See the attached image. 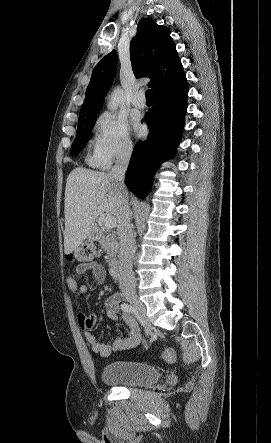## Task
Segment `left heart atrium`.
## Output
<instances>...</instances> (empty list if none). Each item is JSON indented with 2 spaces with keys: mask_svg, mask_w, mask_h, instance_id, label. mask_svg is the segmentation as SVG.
Here are the masks:
<instances>
[{
  "mask_svg": "<svg viewBox=\"0 0 271 443\" xmlns=\"http://www.w3.org/2000/svg\"><path fill=\"white\" fill-rule=\"evenodd\" d=\"M134 127L138 137H142L145 134V127L139 121L134 122Z\"/></svg>",
  "mask_w": 271,
  "mask_h": 443,
  "instance_id": "left-heart-atrium-1",
  "label": "left heart atrium"
}]
</instances>
